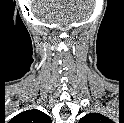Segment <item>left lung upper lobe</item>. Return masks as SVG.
<instances>
[{
    "label": "left lung upper lobe",
    "mask_w": 124,
    "mask_h": 123,
    "mask_svg": "<svg viewBox=\"0 0 124 123\" xmlns=\"http://www.w3.org/2000/svg\"><path fill=\"white\" fill-rule=\"evenodd\" d=\"M106 117L99 113H90L83 116L79 123H106Z\"/></svg>",
    "instance_id": "obj_1"
}]
</instances>
